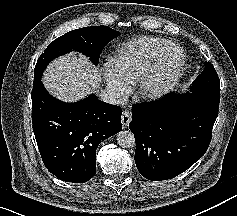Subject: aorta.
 Masks as SVG:
<instances>
[{
  "label": "aorta",
  "mask_w": 237,
  "mask_h": 216,
  "mask_svg": "<svg viewBox=\"0 0 237 216\" xmlns=\"http://www.w3.org/2000/svg\"><path fill=\"white\" fill-rule=\"evenodd\" d=\"M117 144L122 148L135 147V136L129 130H122L116 134Z\"/></svg>",
  "instance_id": "762f6f07"
}]
</instances>
